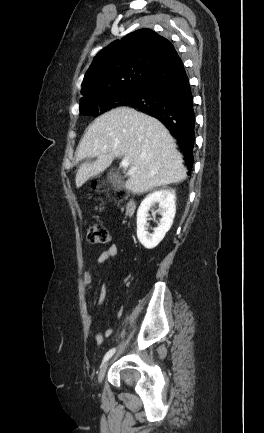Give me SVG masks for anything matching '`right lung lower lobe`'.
<instances>
[{"instance_id":"1","label":"right lung lower lobe","mask_w":264,"mask_h":433,"mask_svg":"<svg viewBox=\"0 0 264 433\" xmlns=\"http://www.w3.org/2000/svg\"><path fill=\"white\" fill-rule=\"evenodd\" d=\"M129 106L161 121L178 140L188 169L193 166L195 113L193 96L184 65L177 52L152 72Z\"/></svg>"}]
</instances>
